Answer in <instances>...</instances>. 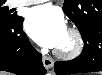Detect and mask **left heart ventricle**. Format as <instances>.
Instances as JSON below:
<instances>
[{"instance_id":"obj_1","label":"left heart ventricle","mask_w":102,"mask_h":75,"mask_svg":"<svg viewBox=\"0 0 102 75\" xmlns=\"http://www.w3.org/2000/svg\"><path fill=\"white\" fill-rule=\"evenodd\" d=\"M72 45H73V40L66 32L61 44L57 48L62 50H68L72 47Z\"/></svg>"}]
</instances>
